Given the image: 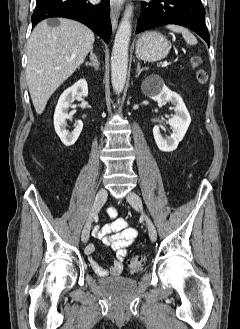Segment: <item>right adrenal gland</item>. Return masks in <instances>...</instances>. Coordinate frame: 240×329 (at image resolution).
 I'll list each match as a JSON object with an SVG mask.
<instances>
[{"instance_id": "right-adrenal-gland-1", "label": "right adrenal gland", "mask_w": 240, "mask_h": 329, "mask_svg": "<svg viewBox=\"0 0 240 329\" xmlns=\"http://www.w3.org/2000/svg\"><path fill=\"white\" fill-rule=\"evenodd\" d=\"M90 59H91V63H86V66H91V67H94L95 70H98L99 61H98L97 56L93 53V47L90 50Z\"/></svg>"}]
</instances>
